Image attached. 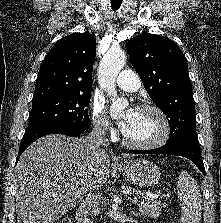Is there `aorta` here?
Masks as SVG:
<instances>
[{
    "label": "aorta",
    "mask_w": 221,
    "mask_h": 223,
    "mask_svg": "<svg viewBox=\"0 0 221 223\" xmlns=\"http://www.w3.org/2000/svg\"><path fill=\"white\" fill-rule=\"evenodd\" d=\"M126 63V55L120 49H110L102 58L98 68V82L109 96H112L111 115H117L128 106L124 98H116V77Z\"/></svg>",
    "instance_id": "aorta-1"
}]
</instances>
